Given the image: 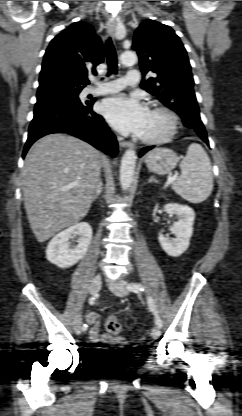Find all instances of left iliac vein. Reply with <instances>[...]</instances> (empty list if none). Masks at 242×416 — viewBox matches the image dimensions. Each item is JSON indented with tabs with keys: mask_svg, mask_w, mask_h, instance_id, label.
Segmentation results:
<instances>
[{
	"mask_svg": "<svg viewBox=\"0 0 242 416\" xmlns=\"http://www.w3.org/2000/svg\"><path fill=\"white\" fill-rule=\"evenodd\" d=\"M126 281L118 279L115 283L110 284L111 291L117 296H126L128 291L126 290ZM161 330L158 326H154L151 329V337L156 339L160 336Z\"/></svg>",
	"mask_w": 242,
	"mask_h": 416,
	"instance_id": "4c4485c4",
	"label": "left iliac vein"
}]
</instances>
